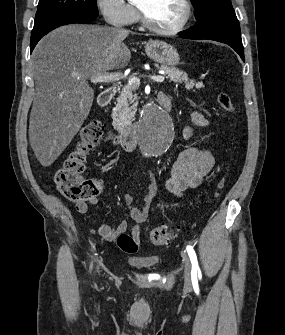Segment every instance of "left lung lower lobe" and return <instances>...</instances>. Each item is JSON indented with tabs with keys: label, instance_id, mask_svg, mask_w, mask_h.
<instances>
[{
	"label": "left lung lower lobe",
	"instance_id": "0a47b994",
	"mask_svg": "<svg viewBox=\"0 0 285 335\" xmlns=\"http://www.w3.org/2000/svg\"><path fill=\"white\" fill-rule=\"evenodd\" d=\"M182 36L185 39H208L230 45L245 61L239 21L235 12H213Z\"/></svg>",
	"mask_w": 285,
	"mask_h": 335
}]
</instances>
